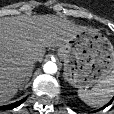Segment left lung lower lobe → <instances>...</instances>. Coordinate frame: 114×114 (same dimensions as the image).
Listing matches in <instances>:
<instances>
[{
	"instance_id": "left-lung-lower-lobe-1",
	"label": "left lung lower lobe",
	"mask_w": 114,
	"mask_h": 114,
	"mask_svg": "<svg viewBox=\"0 0 114 114\" xmlns=\"http://www.w3.org/2000/svg\"><path fill=\"white\" fill-rule=\"evenodd\" d=\"M113 99H114V97H113ZM113 99L107 105L103 106L101 109H104L106 106L110 105L112 103Z\"/></svg>"
}]
</instances>
